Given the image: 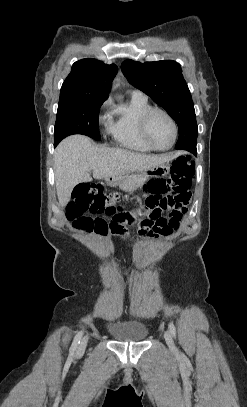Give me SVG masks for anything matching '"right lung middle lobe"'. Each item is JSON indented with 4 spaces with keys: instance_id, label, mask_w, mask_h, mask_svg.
Returning <instances> with one entry per match:
<instances>
[{
    "instance_id": "1",
    "label": "right lung middle lobe",
    "mask_w": 247,
    "mask_h": 407,
    "mask_svg": "<svg viewBox=\"0 0 247 407\" xmlns=\"http://www.w3.org/2000/svg\"><path fill=\"white\" fill-rule=\"evenodd\" d=\"M105 100L59 101L54 130V146L72 134L100 140L98 116Z\"/></svg>"
}]
</instances>
